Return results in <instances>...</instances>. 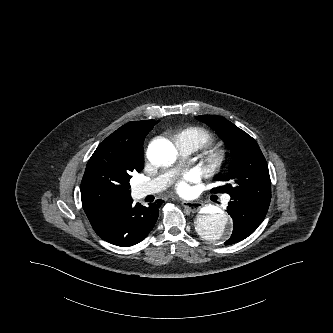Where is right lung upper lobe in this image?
<instances>
[{
  "label": "right lung upper lobe",
  "mask_w": 333,
  "mask_h": 333,
  "mask_svg": "<svg viewBox=\"0 0 333 333\" xmlns=\"http://www.w3.org/2000/svg\"><path fill=\"white\" fill-rule=\"evenodd\" d=\"M147 121L123 125L101 142L89 159L81 181L82 206L89 220L131 198V192L114 183L124 171L143 165Z\"/></svg>",
  "instance_id": "obj_1"
}]
</instances>
